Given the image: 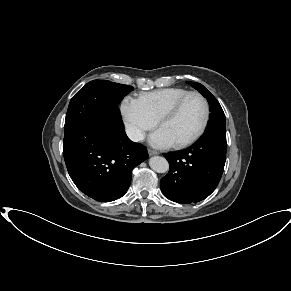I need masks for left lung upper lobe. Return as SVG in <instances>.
<instances>
[{
    "instance_id": "obj_1",
    "label": "left lung upper lobe",
    "mask_w": 291,
    "mask_h": 291,
    "mask_svg": "<svg viewBox=\"0 0 291 291\" xmlns=\"http://www.w3.org/2000/svg\"><path fill=\"white\" fill-rule=\"evenodd\" d=\"M188 83L207 98L209 103L211 114L205 132L218 130L226 131L225 114L217 99L202 84L195 82Z\"/></svg>"
}]
</instances>
